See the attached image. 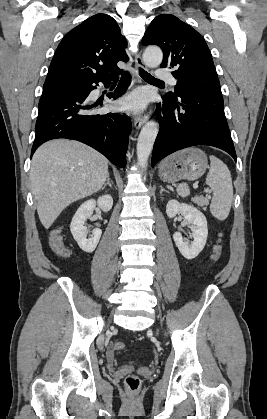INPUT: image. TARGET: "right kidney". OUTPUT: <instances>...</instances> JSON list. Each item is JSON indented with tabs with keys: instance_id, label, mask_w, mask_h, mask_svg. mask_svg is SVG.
I'll use <instances>...</instances> for the list:
<instances>
[{
	"instance_id": "right-kidney-1",
	"label": "right kidney",
	"mask_w": 267,
	"mask_h": 419,
	"mask_svg": "<svg viewBox=\"0 0 267 419\" xmlns=\"http://www.w3.org/2000/svg\"><path fill=\"white\" fill-rule=\"evenodd\" d=\"M96 205L103 212H108L113 206V198L111 195L105 194L100 196L97 201L94 199L87 200L78 208L70 225L73 238L78 243L79 247L88 253L95 250L102 234L101 229L95 228L92 230L91 237L87 238L88 231L85 226V221L91 217Z\"/></svg>"
}]
</instances>
